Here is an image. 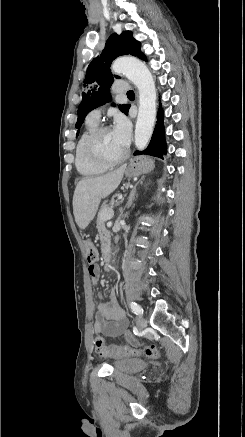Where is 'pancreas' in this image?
I'll use <instances>...</instances> for the list:
<instances>
[{
	"label": "pancreas",
	"instance_id": "cf45deb5",
	"mask_svg": "<svg viewBox=\"0 0 245 437\" xmlns=\"http://www.w3.org/2000/svg\"><path fill=\"white\" fill-rule=\"evenodd\" d=\"M119 195H120L119 193H116L113 196L110 205H104L98 213L97 229L99 232V237H100L102 246H105L107 244V242H109V240H110V232L106 229L104 223L107 220L106 217L113 213L112 207L114 206V203H115L114 198L118 197Z\"/></svg>",
	"mask_w": 245,
	"mask_h": 437
}]
</instances>
